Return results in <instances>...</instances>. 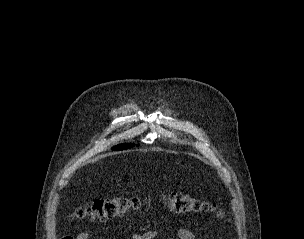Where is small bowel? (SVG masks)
Masks as SVG:
<instances>
[{
  "label": "small bowel",
  "mask_w": 304,
  "mask_h": 239,
  "mask_svg": "<svg viewBox=\"0 0 304 239\" xmlns=\"http://www.w3.org/2000/svg\"><path fill=\"white\" fill-rule=\"evenodd\" d=\"M97 230L84 231L75 237L67 236L61 239H89ZM157 236L156 231H147L144 234H135L134 239H153ZM177 239H198L194 232L186 228H180L176 232Z\"/></svg>",
  "instance_id": "c3829d8e"
}]
</instances>
